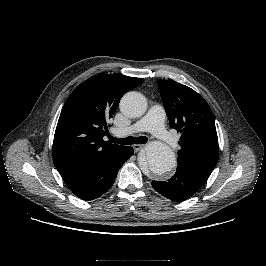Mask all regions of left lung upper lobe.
I'll return each instance as SVG.
<instances>
[{"label":"left lung upper lobe","instance_id":"left-lung-upper-lobe-1","mask_svg":"<svg viewBox=\"0 0 266 266\" xmlns=\"http://www.w3.org/2000/svg\"><path fill=\"white\" fill-rule=\"evenodd\" d=\"M158 87L169 124L182 133L177 168L207 180L218 162L219 147L212 111L193 89L159 79Z\"/></svg>","mask_w":266,"mask_h":266}]
</instances>
